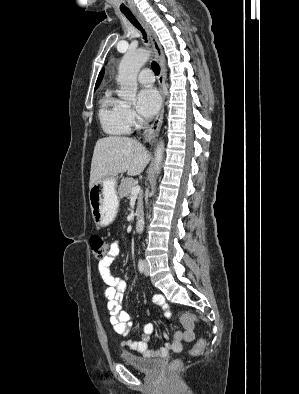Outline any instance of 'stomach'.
Returning <instances> with one entry per match:
<instances>
[{
    "label": "stomach",
    "mask_w": 299,
    "mask_h": 394,
    "mask_svg": "<svg viewBox=\"0 0 299 394\" xmlns=\"http://www.w3.org/2000/svg\"><path fill=\"white\" fill-rule=\"evenodd\" d=\"M116 186V179L109 177L90 188L89 201L96 226L105 227L113 222L119 206Z\"/></svg>",
    "instance_id": "obj_1"
}]
</instances>
